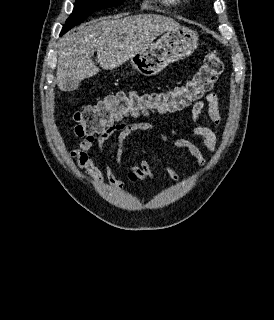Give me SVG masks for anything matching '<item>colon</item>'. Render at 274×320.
I'll list each match as a JSON object with an SVG mask.
<instances>
[{
  "label": "colon",
  "instance_id": "obj_1",
  "mask_svg": "<svg viewBox=\"0 0 274 320\" xmlns=\"http://www.w3.org/2000/svg\"><path fill=\"white\" fill-rule=\"evenodd\" d=\"M224 63L213 49L204 57L194 75L185 83L166 91L126 93L120 91L94 104H86L73 114L77 136H95L105 127H117L125 118L147 112L167 113L181 110L202 99L222 73ZM130 179L136 174L130 172Z\"/></svg>",
  "mask_w": 274,
  "mask_h": 320
}]
</instances>
